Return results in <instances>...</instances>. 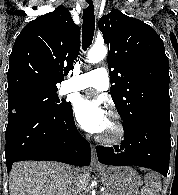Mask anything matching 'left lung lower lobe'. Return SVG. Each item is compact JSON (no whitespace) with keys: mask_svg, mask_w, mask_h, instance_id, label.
Returning <instances> with one entry per match:
<instances>
[{"mask_svg":"<svg viewBox=\"0 0 178 195\" xmlns=\"http://www.w3.org/2000/svg\"><path fill=\"white\" fill-rule=\"evenodd\" d=\"M170 124L146 119L124 126L125 138L120 146L96 147L99 162L146 167L167 176L171 151Z\"/></svg>","mask_w":178,"mask_h":195,"instance_id":"obj_1","label":"left lung lower lobe"}]
</instances>
